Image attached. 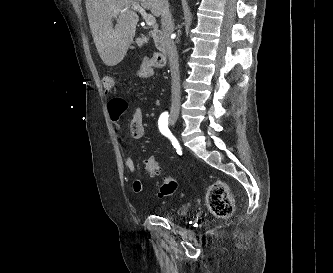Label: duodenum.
Returning a JSON list of instances; mask_svg holds the SVG:
<instances>
[{"label": "duodenum", "instance_id": "410a0bca", "mask_svg": "<svg viewBox=\"0 0 333 273\" xmlns=\"http://www.w3.org/2000/svg\"><path fill=\"white\" fill-rule=\"evenodd\" d=\"M150 35H151L159 53L163 57H166L169 49L172 46L169 38L160 29L151 30Z\"/></svg>", "mask_w": 333, "mask_h": 273}]
</instances>
